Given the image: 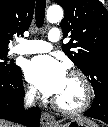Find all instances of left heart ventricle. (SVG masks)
I'll use <instances>...</instances> for the list:
<instances>
[{"label":"left heart ventricle","mask_w":108,"mask_h":127,"mask_svg":"<svg viewBox=\"0 0 108 127\" xmlns=\"http://www.w3.org/2000/svg\"><path fill=\"white\" fill-rule=\"evenodd\" d=\"M55 99L64 106L73 107L79 105L83 99V89L80 82L73 77L67 76L62 89L55 95Z\"/></svg>","instance_id":"obj_1"}]
</instances>
